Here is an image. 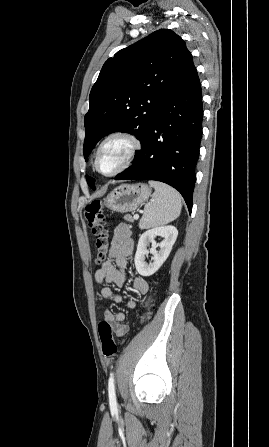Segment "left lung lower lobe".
<instances>
[{
  "mask_svg": "<svg viewBox=\"0 0 269 447\" xmlns=\"http://www.w3.org/2000/svg\"><path fill=\"white\" fill-rule=\"evenodd\" d=\"M201 84L187 51L132 166L115 180H157L177 189L189 212L202 136Z\"/></svg>",
  "mask_w": 269,
  "mask_h": 447,
  "instance_id": "0a47b994",
  "label": "left lung lower lobe"
}]
</instances>
